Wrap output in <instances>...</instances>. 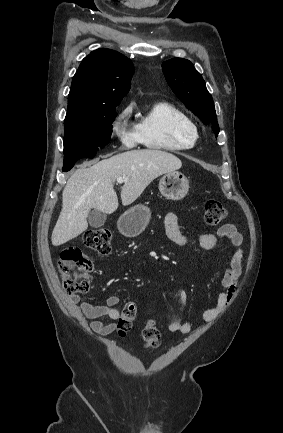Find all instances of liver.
<instances>
[{"label":"liver","mask_w":283,"mask_h":433,"mask_svg":"<svg viewBox=\"0 0 283 433\" xmlns=\"http://www.w3.org/2000/svg\"><path fill=\"white\" fill-rule=\"evenodd\" d=\"M180 166L182 162L175 154L151 148L127 150L99 162H83L64 186L62 210L53 229L52 245H63L86 231L91 208L106 214L118 208V196L113 186L118 176L128 178L121 188L122 204L126 206L134 202L154 178L174 172Z\"/></svg>","instance_id":"1"}]
</instances>
